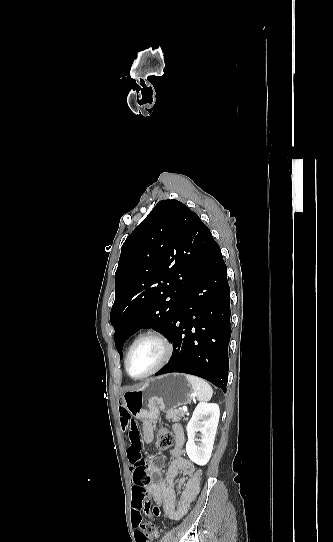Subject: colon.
Instances as JSON below:
<instances>
[{
  "instance_id": "obj_1",
  "label": "colon",
  "mask_w": 333,
  "mask_h": 542,
  "mask_svg": "<svg viewBox=\"0 0 333 542\" xmlns=\"http://www.w3.org/2000/svg\"><path fill=\"white\" fill-rule=\"evenodd\" d=\"M155 439L158 449H168L175 444L176 435L167 427H161L156 430ZM128 465L130 469H133L134 480L137 482L132 486L134 506L130 520L132 524L140 525V531L137 534L138 540L140 542H148V538H151L156 533L157 526L154 520L151 518L147 519L144 513L151 511L153 517H158L160 512L157 505L145 501L146 494L149 491L148 484L153 481V478L149 474L142 458H130Z\"/></svg>"
}]
</instances>
